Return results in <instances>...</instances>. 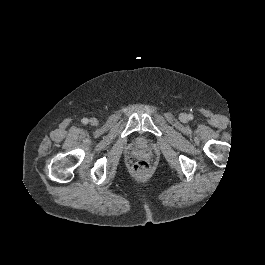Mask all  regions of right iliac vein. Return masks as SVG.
Instances as JSON below:
<instances>
[{
  "label": "right iliac vein",
  "mask_w": 265,
  "mask_h": 265,
  "mask_svg": "<svg viewBox=\"0 0 265 265\" xmlns=\"http://www.w3.org/2000/svg\"><path fill=\"white\" fill-rule=\"evenodd\" d=\"M89 124H90V126L95 127L98 124V120L96 118H91L89 120Z\"/></svg>",
  "instance_id": "63e3f726"
}]
</instances>
